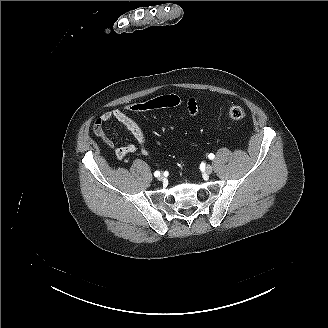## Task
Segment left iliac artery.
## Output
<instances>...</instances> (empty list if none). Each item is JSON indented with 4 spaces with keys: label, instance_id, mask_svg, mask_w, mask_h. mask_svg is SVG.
Returning a JSON list of instances; mask_svg holds the SVG:
<instances>
[{
    "label": "left iliac artery",
    "instance_id": "44dca946",
    "mask_svg": "<svg viewBox=\"0 0 328 328\" xmlns=\"http://www.w3.org/2000/svg\"><path fill=\"white\" fill-rule=\"evenodd\" d=\"M208 157H209V159L212 160V159H214L215 156H214V154L210 153V154L208 155Z\"/></svg>",
    "mask_w": 328,
    "mask_h": 328
}]
</instances>
